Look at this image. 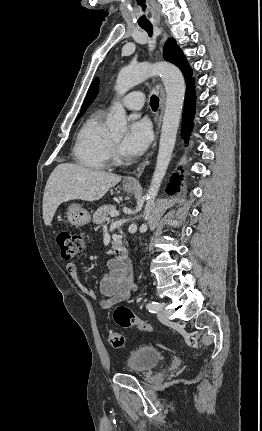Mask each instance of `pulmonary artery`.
<instances>
[{"label": "pulmonary artery", "mask_w": 262, "mask_h": 431, "mask_svg": "<svg viewBox=\"0 0 262 431\" xmlns=\"http://www.w3.org/2000/svg\"><path fill=\"white\" fill-rule=\"evenodd\" d=\"M145 102V95L140 91H134L127 94L122 100L121 104L130 110L142 109Z\"/></svg>", "instance_id": "obj_1"}]
</instances>
